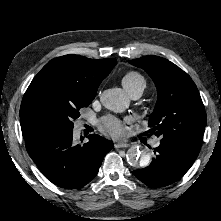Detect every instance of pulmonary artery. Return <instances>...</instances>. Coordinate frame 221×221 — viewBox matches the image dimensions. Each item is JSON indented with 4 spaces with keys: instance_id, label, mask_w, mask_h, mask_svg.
<instances>
[{
    "instance_id": "e3ab8cb5",
    "label": "pulmonary artery",
    "mask_w": 221,
    "mask_h": 221,
    "mask_svg": "<svg viewBox=\"0 0 221 221\" xmlns=\"http://www.w3.org/2000/svg\"><path fill=\"white\" fill-rule=\"evenodd\" d=\"M142 92H143V89L138 87V88H134V89L129 90L128 94H129L130 98L135 100V99H138L142 95ZM159 144H160L159 140H155L153 142L154 147L159 146Z\"/></svg>"
}]
</instances>
